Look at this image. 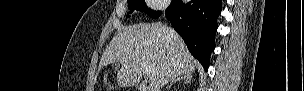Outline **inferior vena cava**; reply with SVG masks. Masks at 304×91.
Instances as JSON below:
<instances>
[{"instance_id": "1", "label": "inferior vena cava", "mask_w": 304, "mask_h": 91, "mask_svg": "<svg viewBox=\"0 0 304 91\" xmlns=\"http://www.w3.org/2000/svg\"><path fill=\"white\" fill-rule=\"evenodd\" d=\"M169 33H170V36H172V37L175 35L174 30H172L171 28H170V32Z\"/></svg>"}]
</instances>
